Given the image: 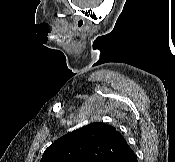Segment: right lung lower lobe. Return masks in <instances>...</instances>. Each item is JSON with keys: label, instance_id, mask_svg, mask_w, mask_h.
Here are the masks:
<instances>
[{"label": "right lung lower lobe", "instance_id": "98d812e1", "mask_svg": "<svg viewBox=\"0 0 175 162\" xmlns=\"http://www.w3.org/2000/svg\"><path fill=\"white\" fill-rule=\"evenodd\" d=\"M114 162H138L136 154L133 150L127 152L126 154L116 158Z\"/></svg>", "mask_w": 175, "mask_h": 162}]
</instances>
